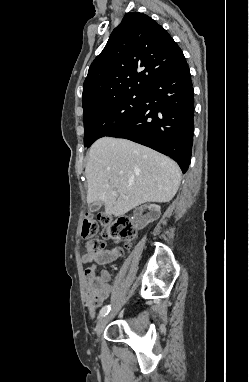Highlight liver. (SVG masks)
<instances>
[{
	"instance_id": "1",
	"label": "liver",
	"mask_w": 249,
	"mask_h": 382,
	"mask_svg": "<svg viewBox=\"0 0 249 382\" xmlns=\"http://www.w3.org/2000/svg\"><path fill=\"white\" fill-rule=\"evenodd\" d=\"M85 176L87 203L102 202L105 214L116 217L146 202L171 201L181 181L180 168L170 158L113 137H102L91 146Z\"/></svg>"
}]
</instances>
